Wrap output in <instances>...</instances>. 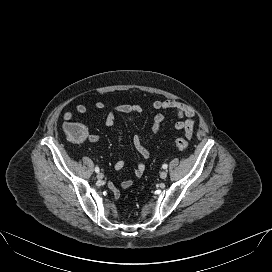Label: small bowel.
Listing matches in <instances>:
<instances>
[{"instance_id": "1", "label": "small bowel", "mask_w": 272, "mask_h": 272, "mask_svg": "<svg viewBox=\"0 0 272 272\" xmlns=\"http://www.w3.org/2000/svg\"><path fill=\"white\" fill-rule=\"evenodd\" d=\"M152 107L157 111H174L178 117L186 118L185 121H177L174 124V129L177 131H184L185 135H189L191 138L194 134V125H195V110L180 101L176 100H155L152 103ZM95 108L98 110H103L105 108V104L101 101L95 103ZM76 112L79 114H85L87 112V108L85 105L79 104L75 108ZM142 112V107L138 104H118L114 106L106 115L105 124L108 127H111L115 123L116 114H138ZM73 118V113L68 111L63 115V119L65 122H69ZM165 120V116L159 112L155 115L153 119V123L151 126V132L147 138H143L139 135H135L133 137V144L139 155L143 159H148L150 157V152L147 148L148 144L152 142V140L159 133L162 123ZM99 137L96 134H90L88 137V141L91 143H96ZM125 163L123 160H119L115 163L114 169L119 171L123 169ZM145 171V165L142 162H139L134 170V175L136 177H141ZM133 184L132 180L125 179L121 182L120 186L124 189L131 187ZM110 190L115 199L120 197V191L113 184L109 185Z\"/></svg>"}]
</instances>
